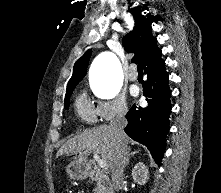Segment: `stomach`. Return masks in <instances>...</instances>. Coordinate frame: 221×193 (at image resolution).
<instances>
[{
    "instance_id": "stomach-1",
    "label": "stomach",
    "mask_w": 221,
    "mask_h": 193,
    "mask_svg": "<svg viewBox=\"0 0 221 193\" xmlns=\"http://www.w3.org/2000/svg\"><path fill=\"white\" fill-rule=\"evenodd\" d=\"M66 171L71 179L81 180L88 174V169L83 162L74 161L70 163Z\"/></svg>"
}]
</instances>
